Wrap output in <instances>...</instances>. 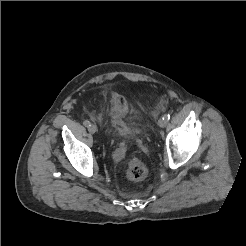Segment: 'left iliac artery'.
<instances>
[{
	"instance_id": "1",
	"label": "left iliac artery",
	"mask_w": 246,
	"mask_h": 246,
	"mask_svg": "<svg viewBox=\"0 0 246 246\" xmlns=\"http://www.w3.org/2000/svg\"><path fill=\"white\" fill-rule=\"evenodd\" d=\"M163 119H164L165 121H169L170 115H169V114H165V115L163 116Z\"/></svg>"
}]
</instances>
